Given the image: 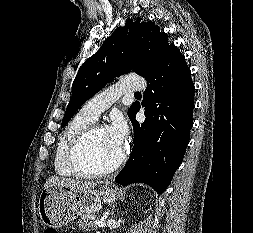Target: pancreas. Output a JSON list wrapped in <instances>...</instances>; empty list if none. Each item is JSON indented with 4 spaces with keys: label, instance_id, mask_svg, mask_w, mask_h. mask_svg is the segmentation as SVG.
I'll use <instances>...</instances> for the list:
<instances>
[{
    "label": "pancreas",
    "instance_id": "1",
    "mask_svg": "<svg viewBox=\"0 0 253 233\" xmlns=\"http://www.w3.org/2000/svg\"><path fill=\"white\" fill-rule=\"evenodd\" d=\"M95 217L90 214H81V218L79 219V228L84 231L88 230H97L98 226L95 224Z\"/></svg>",
    "mask_w": 253,
    "mask_h": 233
}]
</instances>
